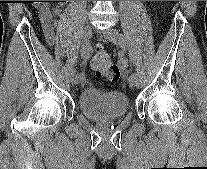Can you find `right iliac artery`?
I'll list each match as a JSON object with an SVG mask.
<instances>
[{
  "mask_svg": "<svg viewBox=\"0 0 207 169\" xmlns=\"http://www.w3.org/2000/svg\"><path fill=\"white\" fill-rule=\"evenodd\" d=\"M80 53H81V57L84 60H87L89 58V51L85 46H82V48L80 50ZM77 78H78V81H82L84 79V75L83 74H77Z\"/></svg>",
  "mask_w": 207,
  "mask_h": 169,
  "instance_id": "82829eb1",
  "label": "right iliac artery"
}]
</instances>
